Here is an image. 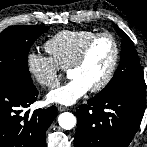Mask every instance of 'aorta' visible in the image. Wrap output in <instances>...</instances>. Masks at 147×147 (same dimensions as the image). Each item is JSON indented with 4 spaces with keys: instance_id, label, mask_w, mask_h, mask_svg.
Instances as JSON below:
<instances>
[{
    "instance_id": "1",
    "label": "aorta",
    "mask_w": 147,
    "mask_h": 147,
    "mask_svg": "<svg viewBox=\"0 0 147 147\" xmlns=\"http://www.w3.org/2000/svg\"><path fill=\"white\" fill-rule=\"evenodd\" d=\"M58 123L61 128L70 130L76 125V117L70 112H64L59 115Z\"/></svg>"
}]
</instances>
